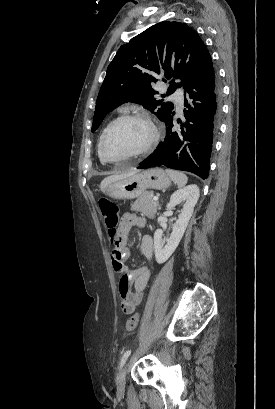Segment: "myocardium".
Instances as JSON below:
<instances>
[{
    "label": "myocardium",
    "instance_id": "f54148a6",
    "mask_svg": "<svg viewBox=\"0 0 275 409\" xmlns=\"http://www.w3.org/2000/svg\"><path fill=\"white\" fill-rule=\"evenodd\" d=\"M123 121H137L142 123L146 129H147V137L145 141L134 151L122 156V157H136L139 156L148 150L151 149V147L155 144L157 138H158V130L154 123L145 115L141 114H125L122 116H119L118 118L114 119L107 127V129L104 132V135L101 139L100 145H99V155L100 157H105L104 152H103V146L105 143V140L107 139L108 135L110 134L111 130L120 122Z\"/></svg>",
    "mask_w": 275,
    "mask_h": 409
}]
</instances>
